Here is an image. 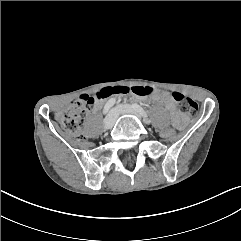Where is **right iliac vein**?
Listing matches in <instances>:
<instances>
[{"label": "right iliac vein", "instance_id": "63e3f726", "mask_svg": "<svg viewBox=\"0 0 241 241\" xmlns=\"http://www.w3.org/2000/svg\"><path fill=\"white\" fill-rule=\"evenodd\" d=\"M116 117H117L116 110H112L109 112V114L104 119V128L106 130L111 129L113 127Z\"/></svg>", "mask_w": 241, "mask_h": 241}]
</instances>
